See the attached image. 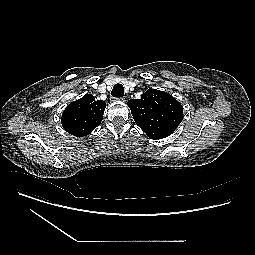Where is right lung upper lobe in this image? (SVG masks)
Here are the masks:
<instances>
[{
  "label": "right lung upper lobe",
  "instance_id": "right-lung-upper-lobe-1",
  "mask_svg": "<svg viewBox=\"0 0 255 255\" xmlns=\"http://www.w3.org/2000/svg\"><path fill=\"white\" fill-rule=\"evenodd\" d=\"M105 107L104 101H96L93 95L86 94L65 108L62 125L71 135L86 136L101 123Z\"/></svg>",
  "mask_w": 255,
  "mask_h": 255
}]
</instances>
